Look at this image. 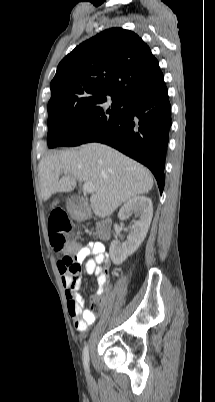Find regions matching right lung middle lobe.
I'll return each instance as SVG.
<instances>
[{"label": "right lung middle lobe", "instance_id": "right-lung-middle-lobe-1", "mask_svg": "<svg viewBox=\"0 0 215 402\" xmlns=\"http://www.w3.org/2000/svg\"><path fill=\"white\" fill-rule=\"evenodd\" d=\"M126 101L120 96L107 94L59 97L49 101L48 147L82 144L85 138L115 122L125 111Z\"/></svg>", "mask_w": 215, "mask_h": 402}]
</instances>
